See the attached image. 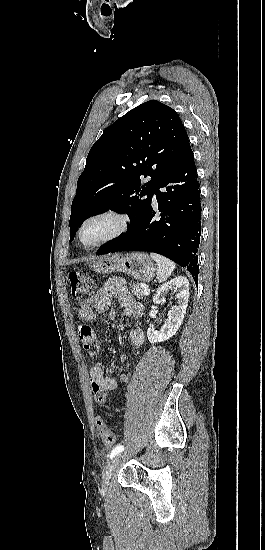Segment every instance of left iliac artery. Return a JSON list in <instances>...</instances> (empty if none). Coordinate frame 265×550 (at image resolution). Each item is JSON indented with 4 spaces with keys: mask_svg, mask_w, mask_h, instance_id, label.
<instances>
[{
    "mask_svg": "<svg viewBox=\"0 0 265 550\" xmlns=\"http://www.w3.org/2000/svg\"><path fill=\"white\" fill-rule=\"evenodd\" d=\"M124 450V446L123 445H118L116 446L111 454H110V458L112 459L115 455L119 454L120 452H122Z\"/></svg>",
    "mask_w": 265,
    "mask_h": 550,
    "instance_id": "obj_1",
    "label": "left iliac artery"
}]
</instances>
